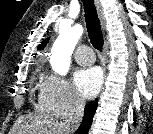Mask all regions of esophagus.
I'll return each mask as SVG.
<instances>
[{"label":"esophagus","mask_w":153,"mask_h":134,"mask_svg":"<svg viewBox=\"0 0 153 134\" xmlns=\"http://www.w3.org/2000/svg\"><path fill=\"white\" fill-rule=\"evenodd\" d=\"M95 4H96V7H97L98 17H99L101 26L104 29L105 28V17H104V13H103V6H102L100 0H95ZM106 50H107V47L105 46L104 47V53L106 52Z\"/></svg>","instance_id":"esophagus-1"}]
</instances>
